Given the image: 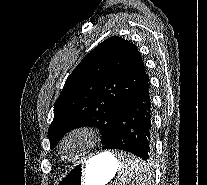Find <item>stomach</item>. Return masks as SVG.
I'll list each match as a JSON object with an SVG mask.
<instances>
[{"instance_id":"0dacf381","label":"stomach","mask_w":207,"mask_h":185,"mask_svg":"<svg viewBox=\"0 0 207 185\" xmlns=\"http://www.w3.org/2000/svg\"><path fill=\"white\" fill-rule=\"evenodd\" d=\"M119 170L115 155L103 152L72 167L58 185H106Z\"/></svg>"}]
</instances>
